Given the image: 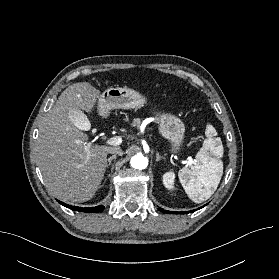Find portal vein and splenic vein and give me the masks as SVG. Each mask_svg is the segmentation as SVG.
Segmentation results:
<instances>
[{"label":"portal vein and splenic vein","instance_id":"portal-vein-and-splenic-vein-1","mask_svg":"<svg viewBox=\"0 0 279 279\" xmlns=\"http://www.w3.org/2000/svg\"><path fill=\"white\" fill-rule=\"evenodd\" d=\"M85 127L81 128L84 129ZM107 145H111V146H118L122 143V138L119 136H115L112 138H109L106 142ZM91 143H88L86 146V151L88 153L87 155V160L90 158V151H89V147L91 146ZM193 163V160L191 158H189V160L187 161V164L191 165Z\"/></svg>","mask_w":279,"mask_h":279}]
</instances>
